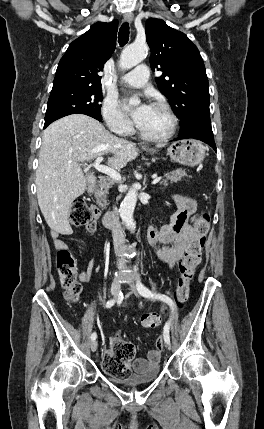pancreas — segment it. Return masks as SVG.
Returning <instances> with one entry per match:
<instances>
[{"instance_id": "obj_1", "label": "pancreas", "mask_w": 264, "mask_h": 429, "mask_svg": "<svg viewBox=\"0 0 264 429\" xmlns=\"http://www.w3.org/2000/svg\"><path fill=\"white\" fill-rule=\"evenodd\" d=\"M183 176H186V172L183 169H177L164 175L165 179L161 181V184L168 186L169 183H176L181 180ZM116 183L113 178L101 179L91 190L94 193L97 204L101 207L107 206L106 197L109 193V189Z\"/></svg>"}]
</instances>
